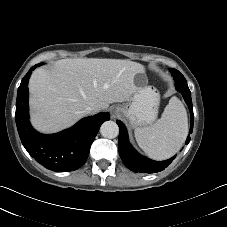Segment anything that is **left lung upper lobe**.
Segmentation results:
<instances>
[{"mask_svg":"<svg viewBox=\"0 0 227 227\" xmlns=\"http://www.w3.org/2000/svg\"><path fill=\"white\" fill-rule=\"evenodd\" d=\"M170 72H171V74H172V76H180V75H182L178 70H176V69H170Z\"/></svg>","mask_w":227,"mask_h":227,"instance_id":"1","label":"left lung upper lobe"}]
</instances>
